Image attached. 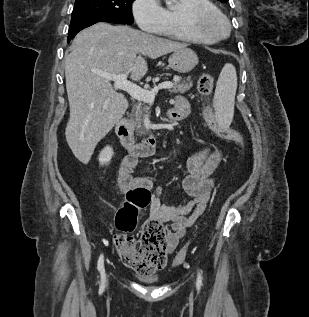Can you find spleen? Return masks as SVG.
<instances>
[{"instance_id":"3e777b00","label":"spleen","mask_w":309,"mask_h":317,"mask_svg":"<svg viewBox=\"0 0 309 317\" xmlns=\"http://www.w3.org/2000/svg\"><path fill=\"white\" fill-rule=\"evenodd\" d=\"M236 90V69L227 63L219 75L213 101L215 118L221 127H228L233 120Z\"/></svg>"}]
</instances>
